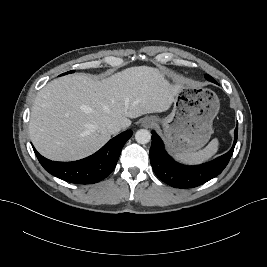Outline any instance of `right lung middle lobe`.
Masks as SVG:
<instances>
[{
  "label": "right lung middle lobe",
  "mask_w": 267,
  "mask_h": 267,
  "mask_svg": "<svg viewBox=\"0 0 267 267\" xmlns=\"http://www.w3.org/2000/svg\"><path fill=\"white\" fill-rule=\"evenodd\" d=\"M72 72H74V71H69V72H66V73H64V74H62V75H65V74H68V73H72Z\"/></svg>",
  "instance_id": "right-lung-middle-lobe-1"
}]
</instances>
